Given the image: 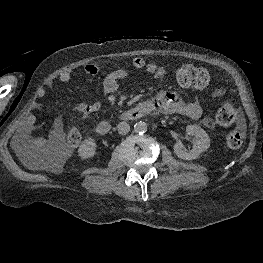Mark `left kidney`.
Returning a JSON list of instances; mask_svg holds the SVG:
<instances>
[{"instance_id": "left-kidney-1", "label": "left kidney", "mask_w": 263, "mask_h": 263, "mask_svg": "<svg viewBox=\"0 0 263 263\" xmlns=\"http://www.w3.org/2000/svg\"><path fill=\"white\" fill-rule=\"evenodd\" d=\"M186 135L194 136L192 149L186 151L183 149L181 142H177L173 149L177 157L183 160H194L198 158L201 153L205 152L210 146V139L208 134L197 125H188L186 127Z\"/></svg>"}]
</instances>
